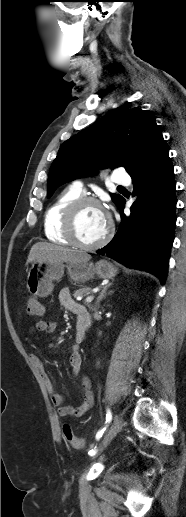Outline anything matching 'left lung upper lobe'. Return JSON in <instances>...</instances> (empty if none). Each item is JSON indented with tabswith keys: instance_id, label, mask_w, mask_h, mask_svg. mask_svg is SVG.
I'll return each mask as SVG.
<instances>
[{
	"instance_id": "1",
	"label": "left lung upper lobe",
	"mask_w": 186,
	"mask_h": 517,
	"mask_svg": "<svg viewBox=\"0 0 186 517\" xmlns=\"http://www.w3.org/2000/svg\"><path fill=\"white\" fill-rule=\"evenodd\" d=\"M163 138L155 117L140 109L119 107L65 141L48 178L50 198L61 184L94 174L97 169L123 166L130 174ZM118 205L119 194H111Z\"/></svg>"
}]
</instances>
